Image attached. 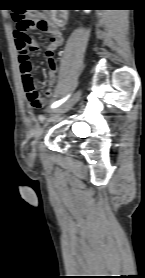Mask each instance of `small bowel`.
Returning a JSON list of instances; mask_svg holds the SVG:
<instances>
[{"label": "small bowel", "mask_w": 145, "mask_h": 278, "mask_svg": "<svg viewBox=\"0 0 145 278\" xmlns=\"http://www.w3.org/2000/svg\"><path fill=\"white\" fill-rule=\"evenodd\" d=\"M46 30L49 35V43H48L47 49H46V57H47V64H48V68H49L48 81L50 84V87L46 91V95L48 97H51L52 92H53V86L56 83V71H57V62L54 58V51L63 44L64 39H63V36H62L58 26L49 24V26L47 27ZM23 34L25 36H27V34L25 32ZM15 41L17 44L18 40L16 39V36H15ZM31 43L33 44L35 49H38L40 47L39 44H37L33 40H31ZM19 62H20V78H21V82L24 86L25 76L28 73L29 74L31 73V66H30L28 72H25L22 69V67L24 65H26L28 63L30 64L28 53L24 54V55H19ZM24 91L26 93L25 87H24ZM26 95H27V93H26Z\"/></svg>", "instance_id": "small-bowel-1"}]
</instances>
